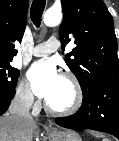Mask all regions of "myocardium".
Segmentation results:
<instances>
[{"instance_id":"f54148a6","label":"myocardium","mask_w":119,"mask_h":141,"mask_svg":"<svg viewBox=\"0 0 119 141\" xmlns=\"http://www.w3.org/2000/svg\"><path fill=\"white\" fill-rule=\"evenodd\" d=\"M61 77L67 80L72 86L73 93H74V98L72 103L66 108L56 109L50 106V104L46 100L44 103V108L51 115L69 116L76 113L82 106L83 90L78 78L73 73L64 72L61 74Z\"/></svg>"}]
</instances>
